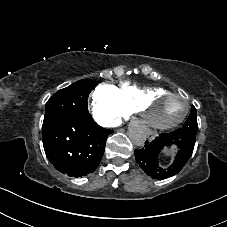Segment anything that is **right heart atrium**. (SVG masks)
<instances>
[{"label": "right heart atrium", "mask_w": 227, "mask_h": 227, "mask_svg": "<svg viewBox=\"0 0 227 227\" xmlns=\"http://www.w3.org/2000/svg\"><path fill=\"white\" fill-rule=\"evenodd\" d=\"M92 115L103 127L116 128L128 117L118 88L110 83L99 84L92 95Z\"/></svg>", "instance_id": "d8ad5b80"}]
</instances>
